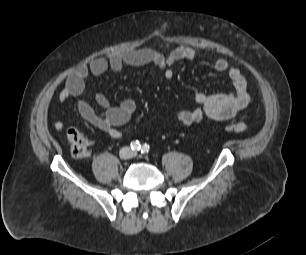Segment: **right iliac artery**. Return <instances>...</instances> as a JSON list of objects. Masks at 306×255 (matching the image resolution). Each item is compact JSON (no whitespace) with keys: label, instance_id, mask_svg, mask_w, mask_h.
Returning a JSON list of instances; mask_svg holds the SVG:
<instances>
[{"label":"right iliac artery","instance_id":"82829eb1","mask_svg":"<svg viewBox=\"0 0 306 255\" xmlns=\"http://www.w3.org/2000/svg\"><path fill=\"white\" fill-rule=\"evenodd\" d=\"M131 149L133 151H139L141 149V144L138 140L131 142Z\"/></svg>","mask_w":306,"mask_h":255}]
</instances>
